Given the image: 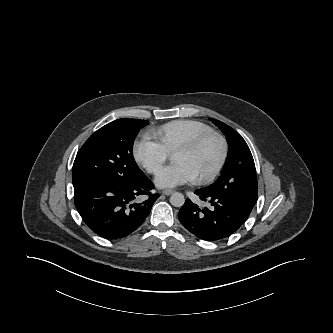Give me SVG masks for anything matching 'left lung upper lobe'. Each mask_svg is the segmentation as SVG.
<instances>
[{
    "instance_id": "obj_1",
    "label": "left lung upper lobe",
    "mask_w": 333,
    "mask_h": 333,
    "mask_svg": "<svg viewBox=\"0 0 333 333\" xmlns=\"http://www.w3.org/2000/svg\"><path fill=\"white\" fill-rule=\"evenodd\" d=\"M226 136L229 152L221 176L206 189L218 191L252 210L257 202L258 184L255 164L244 139L225 123L210 119Z\"/></svg>"
}]
</instances>
